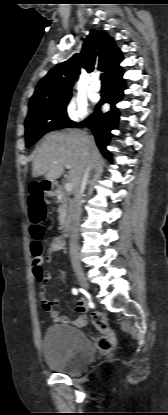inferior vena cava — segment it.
Returning a JSON list of instances; mask_svg holds the SVG:
<instances>
[{"mask_svg":"<svg viewBox=\"0 0 168 415\" xmlns=\"http://www.w3.org/2000/svg\"><path fill=\"white\" fill-rule=\"evenodd\" d=\"M90 165H88L79 180L77 186L74 189V197L72 200L71 208V219H70V229H69V246H70V259L73 268H80L79 262V225L81 218V199L83 192L85 190L87 181L90 177Z\"/></svg>","mask_w":168,"mask_h":415,"instance_id":"602c4592","label":"inferior vena cava"}]
</instances>
